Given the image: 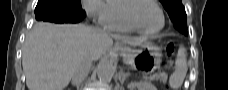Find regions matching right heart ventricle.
Listing matches in <instances>:
<instances>
[{"instance_id": "right-heart-ventricle-1", "label": "right heart ventricle", "mask_w": 228, "mask_h": 90, "mask_svg": "<svg viewBox=\"0 0 228 90\" xmlns=\"http://www.w3.org/2000/svg\"><path fill=\"white\" fill-rule=\"evenodd\" d=\"M129 0L108 1L109 17L105 24L106 28L117 32H135V28L130 26L123 18V8Z\"/></svg>"}]
</instances>
